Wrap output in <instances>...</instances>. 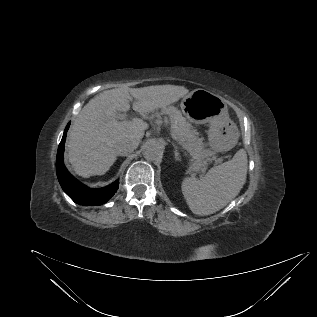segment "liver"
<instances>
[{
  "label": "liver",
  "instance_id": "liver-1",
  "mask_svg": "<svg viewBox=\"0 0 317 317\" xmlns=\"http://www.w3.org/2000/svg\"><path fill=\"white\" fill-rule=\"evenodd\" d=\"M187 93L183 86L156 85L115 88L92 98L68 133V157L74 171L86 178L103 175L115 163L119 143L140 142L148 124L139 118L118 121L116 117L117 111L129 110L133 98V109L144 116L177 102Z\"/></svg>",
  "mask_w": 317,
  "mask_h": 317
}]
</instances>
